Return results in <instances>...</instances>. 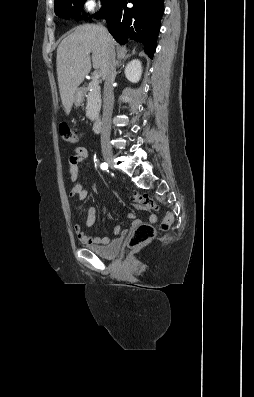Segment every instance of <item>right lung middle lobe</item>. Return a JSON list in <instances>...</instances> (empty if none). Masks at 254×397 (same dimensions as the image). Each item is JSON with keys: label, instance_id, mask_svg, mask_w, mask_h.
<instances>
[{"label": "right lung middle lobe", "instance_id": "1", "mask_svg": "<svg viewBox=\"0 0 254 397\" xmlns=\"http://www.w3.org/2000/svg\"><path fill=\"white\" fill-rule=\"evenodd\" d=\"M85 0H56L55 1V14L62 18H75L81 19L79 12L82 9V5ZM113 2V0H101L103 8L96 14H100L105 11ZM88 18H86L87 20Z\"/></svg>", "mask_w": 254, "mask_h": 397}]
</instances>
